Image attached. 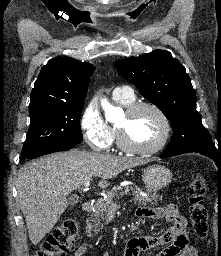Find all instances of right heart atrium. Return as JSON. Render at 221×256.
<instances>
[{
  "label": "right heart atrium",
  "mask_w": 221,
  "mask_h": 256,
  "mask_svg": "<svg viewBox=\"0 0 221 256\" xmlns=\"http://www.w3.org/2000/svg\"><path fill=\"white\" fill-rule=\"evenodd\" d=\"M79 123L83 137L92 149L104 151L112 145L115 133L94 101H90L84 107Z\"/></svg>",
  "instance_id": "right-heart-atrium-1"
}]
</instances>
